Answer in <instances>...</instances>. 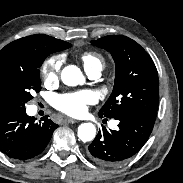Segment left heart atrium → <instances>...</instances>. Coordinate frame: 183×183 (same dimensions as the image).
I'll return each instance as SVG.
<instances>
[{"label":"left heart atrium","mask_w":183,"mask_h":183,"mask_svg":"<svg viewBox=\"0 0 183 183\" xmlns=\"http://www.w3.org/2000/svg\"><path fill=\"white\" fill-rule=\"evenodd\" d=\"M96 102V95L91 90H81L58 94L53 99L54 107L69 116L83 114L88 105Z\"/></svg>","instance_id":"obj_1"}]
</instances>
